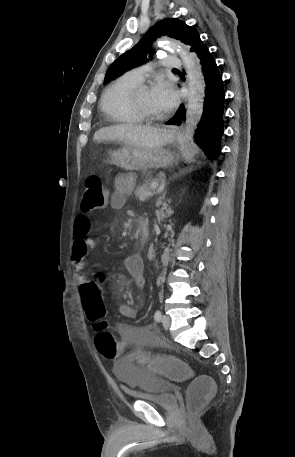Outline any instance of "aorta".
<instances>
[{
  "mask_svg": "<svg viewBox=\"0 0 295 457\" xmlns=\"http://www.w3.org/2000/svg\"><path fill=\"white\" fill-rule=\"evenodd\" d=\"M165 46L172 48L182 59L188 81V105L186 110V133L188 135L197 127L202 114L205 97V81L199 59L189 53L179 41L163 38Z\"/></svg>",
  "mask_w": 295,
  "mask_h": 457,
  "instance_id": "762f6f07",
  "label": "aorta"
}]
</instances>
